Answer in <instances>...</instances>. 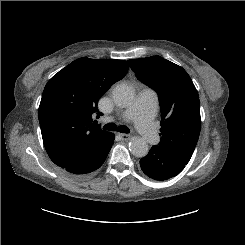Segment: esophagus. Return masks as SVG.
<instances>
[{"mask_svg":"<svg viewBox=\"0 0 245 245\" xmlns=\"http://www.w3.org/2000/svg\"><path fill=\"white\" fill-rule=\"evenodd\" d=\"M118 135L123 139V140H128L130 138L129 134L125 133H118Z\"/></svg>","mask_w":245,"mask_h":245,"instance_id":"34e87169","label":"esophagus"}]
</instances>
